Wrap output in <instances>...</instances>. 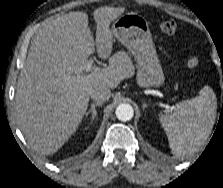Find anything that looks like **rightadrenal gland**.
<instances>
[{"label": "right adrenal gland", "mask_w": 223, "mask_h": 188, "mask_svg": "<svg viewBox=\"0 0 223 188\" xmlns=\"http://www.w3.org/2000/svg\"><path fill=\"white\" fill-rule=\"evenodd\" d=\"M102 103H93L91 104L90 109L88 110V112H86V116H88L90 113L92 114V118H91V122L90 124H92V121L95 119L96 115H97V111H96V107L97 106H101Z\"/></svg>", "instance_id": "1"}]
</instances>
